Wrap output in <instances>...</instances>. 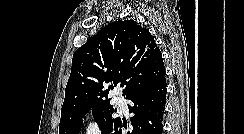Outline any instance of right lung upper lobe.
Here are the masks:
<instances>
[{
    "label": "right lung upper lobe",
    "mask_w": 244,
    "mask_h": 134,
    "mask_svg": "<svg viewBox=\"0 0 244 134\" xmlns=\"http://www.w3.org/2000/svg\"><path fill=\"white\" fill-rule=\"evenodd\" d=\"M163 76L162 54L149 30L133 20L110 23L73 54L61 119L109 101L108 83H121L127 97Z\"/></svg>",
    "instance_id": "1"
}]
</instances>
